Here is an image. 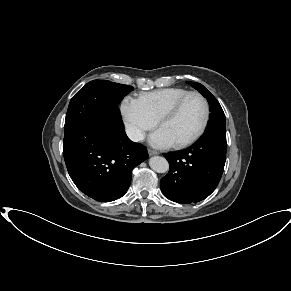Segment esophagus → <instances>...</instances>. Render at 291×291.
Here are the masks:
<instances>
[{
    "mask_svg": "<svg viewBox=\"0 0 291 291\" xmlns=\"http://www.w3.org/2000/svg\"><path fill=\"white\" fill-rule=\"evenodd\" d=\"M148 154H149L150 156H153V155H158L159 152L156 151V150L148 149Z\"/></svg>",
    "mask_w": 291,
    "mask_h": 291,
    "instance_id": "esophagus-1",
    "label": "esophagus"
}]
</instances>
